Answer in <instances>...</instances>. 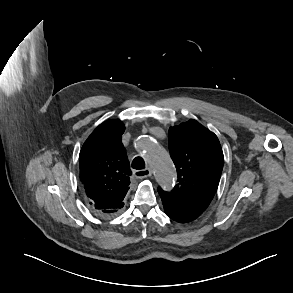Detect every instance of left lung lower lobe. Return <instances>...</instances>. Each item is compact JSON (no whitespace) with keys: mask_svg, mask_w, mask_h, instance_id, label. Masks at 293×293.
Returning <instances> with one entry per match:
<instances>
[{"mask_svg":"<svg viewBox=\"0 0 293 293\" xmlns=\"http://www.w3.org/2000/svg\"><path fill=\"white\" fill-rule=\"evenodd\" d=\"M158 192L162 199L164 211L169 218L179 223H186L199 217V213L177 203L176 201L172 200L169 196H167L164 192Z\"/></svg>","mask_w":293,"mask_h":293,"instance_id":"1","label":"left lung lower lobe"}]
</instances>
